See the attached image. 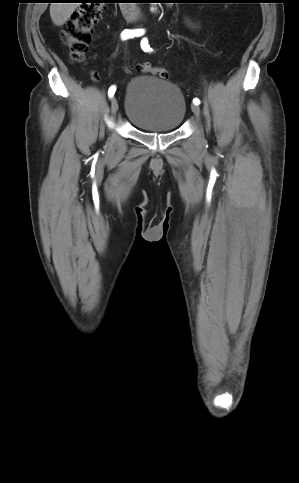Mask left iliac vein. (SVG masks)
Instances as JSON below:
<instances>
[{
	"label": "left iliac vein",
	"mask_w": 299,
	"mask_h": 483,
	"mask_svg": "<svg viewBox=\"0 0 299 483\" xmlns=\"http://www.w3.org/2000/svg\"><path fill=\"white\" fill-rule=\"evenodd\" d=\"M191 110L192 112L197 116L199 117V114H200V109L198 107V105H195V104H192L191 105Z\"/></svg>",
	"instance_id": "obj_1"
}]
</instances>
